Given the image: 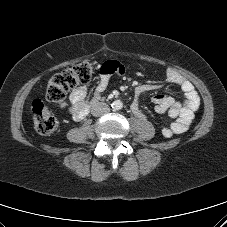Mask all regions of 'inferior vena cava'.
<instances>
[{
	"instance_id": "inferior-vena-cava-1",
	"label": "inferior vena cava",
	"mask_w": 227,
	"mask_h": 227,
	"mask_svg": "<svg viewBox=\"0 0 227 227\" xmlns=\"http://www.w3.org/2000/svg\"><path fill=\"white\" fill-rule=\"evenodd\" d=\"M109 111L110 107L106 103L102 102L95 103L91 110L94 116H102L107 114Z\"/></svg>"
}]
</instances>
